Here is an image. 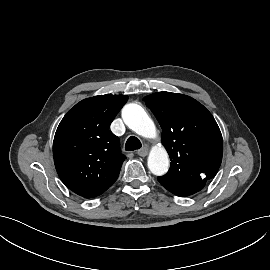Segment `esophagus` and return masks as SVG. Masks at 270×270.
Instances as JSON below:
<instances>
[{
	"mask_svg": "<svg viewBox=\"0 0 270 270\" xmlns=\"http://www.w3.org/2000/svg\"><path fill=\"white\" fill-rule=\"evenodd\" d=\"M137 154L141 157H145L148 154V147L144 146L143 148L137 151Z\"/></svg>",
	"mask_w": 270,
	"mask_h": 270,
	"instance_id": "34e87169",
	"label": "esophagus"
}]
</instances>
